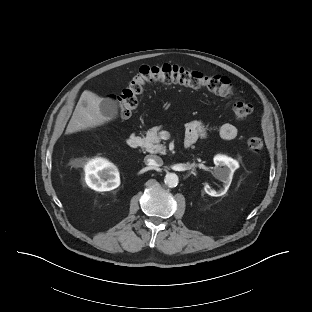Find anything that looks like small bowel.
Masks as SVG:
<instances>
[{
  "mask_svg": "<svg viewBox=\"0 0 312 312\" xmlns=\"http://www.w3.org/2000/svg\"><path fill=\"white\" fill-rule=\"evenodd\" d=\"M207 134L206 127L199 121L187 124L185 132V144H194L198 139L204 138ZM220 137L224 140H233L238 135V128L232 123H224L219 129Z\"/></svg>",
  "mask_w": 312,
  "mask_h": 312,
  "instance_id": "small-bowel-1",
  "label": "small bowel"
}]
</instances>
